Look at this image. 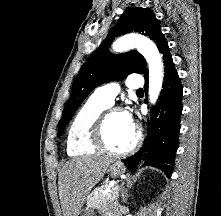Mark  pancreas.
<instances>
[{
    "mask_svg": "<svg viewBox=\"0 0 221 216\" xmlns=\"http://www.w3.org/2000/svg\"><path fill=\"white\" fill-rule=\"evenodd\" d=\"M117 185H114L110 192L107 193L106 195H103V191L107 189V185H103L101 187L96 188L91 195L87 199V206L89 208H96L100 209L101 211H106L108 210V206L117 200L118 198V192H119V187L114 188Z\"/></svg>",
    "mask_w": 221,
    "mask_h": 216,
    "instance_id": "1",
    "label": "pancreas"
}]
</instances>
